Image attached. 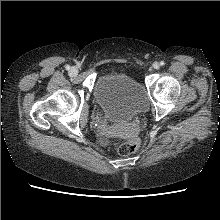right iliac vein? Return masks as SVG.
<instances>
[{"label": "right iliac vein", "mask_w": 220, "mask_h": 220, "mask_svg": "<svg viewBox=\"0 0 220 220\" xmlns=\"http://www.w3.org/2000/svg\"><path fill=\"white\" fill-rule=\"evenodd\" d=\"M70 74L73 75V76L77 75L78 74V68L72 67L70 69Z\"/></svg>", "instance_id": "63e3f726"}]
</instances>
